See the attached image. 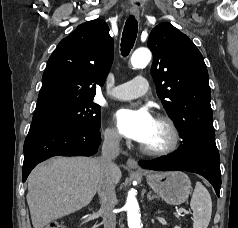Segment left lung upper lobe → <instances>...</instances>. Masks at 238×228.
<instances>
[{
    "mask_svg": "<svg viewBox=\"0 0 238 228\" xmlns=\"http://www.w3.org/2000/svg\"><path fill=\"white\" fill-rule=\"evenodd\" d=\"M148 47L151 74L162 104L180 133L181 157L215 142L208 71L192 41L170 23L153 28Z\"/></svg>",
    "mask_w": 238,
    "mask_h": 228,
    "instance_id": "5c2ea615",
    "label": "left lung upper lobe"
}]
</instances>
